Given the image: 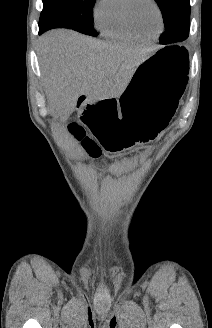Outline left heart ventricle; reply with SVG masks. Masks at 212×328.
I'll use <instances>...</instances> for the list:
<instances>
[{
	"label": "left heart ventricle",
	"instance_id": "1",
	"mask_svg": "<svg viewBox=\"0 0 212 328\" xmlns=\"http://www.w3.org/2000/svg\"><path fill=\"white\" fill-rule=\"evenodd\" d=\"M134 18L138 26L147 33H155L159 28V18L148 0H138L134 6Z\"/></svg>",
	"mask_w": 212,
	"mask_h": 328
}]
</instances>
